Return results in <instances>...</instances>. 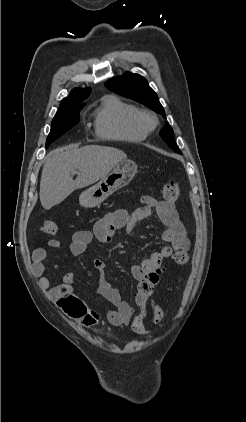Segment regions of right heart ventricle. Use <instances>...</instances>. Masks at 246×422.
Here are the masks:
<instances>
[{
	"label": "right heart ventricle",
	"instance_id": "e07e8e85",
	"mask_svg": "<svg viewBox=\"0 0 246 422\" xmlns=\"http://www.w3.org/2000/svg\"><path fill=\"white\" fill-rule=\"evenodd\" d=\"M140 110L115 95L101 99L95 113V131L104 139L139 142L148 132L138 121Z\"/></svg>",
	"mask_w": 246,
	"mask_h": 422
}]
</instances>
